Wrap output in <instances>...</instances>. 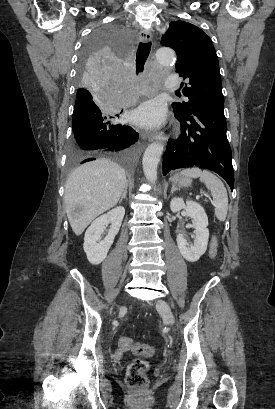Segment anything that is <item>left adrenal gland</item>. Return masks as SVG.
Listing matches in <instances>:
<instances>
[{
	"label": "left adrenal gland",
	"instance_id": "left-adrenal-gland-1",
	"mask_svg": "<svg viewBox=\"0 0 275 409\" xmlns=\"http://www.w3.org/2000/svg\"><path fill=\"white\" fill-rule=\"evenodd\" d=\"M174 190H179V188H177V186H175V184H172L171 194H172V192H174Z\"/></svg>",
	"mask_w": 275,
	"mask_h": 409
}]
</instances>
